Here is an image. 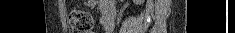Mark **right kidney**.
<instances>
[{"label":"right kidney","mask_w":235,"mask_h":33,"mask_svg":"<svg viewBox=\"0 0 235 33\" xmlns=\"http://www.w3.org/2000/svg\"><path fill=\"white\" fill-rule=\"evenodd\" d=\"M134 2H136V3H141V2H143V1H140V0H134Z\"/></svg>","instance_id":"right-kidney-1"}]
</instances>
